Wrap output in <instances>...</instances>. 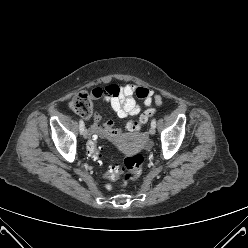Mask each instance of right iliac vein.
I'll return each instance as SVG.
<instances>
[{"instance_id":"63e3f726","label":"right iliac vein","mask_w":248,"mask_h":248,"mask_svg":"<svg viewBox=\"0 0 248 248\" xmlns=\"http://www.w3.org/2000/svg\"><path fill=\"white\" fill-rule=\"evenodd\" d=\"M83 136H84V138H88L89 137V132L85 128H84V131H83Z\"/></svg>"}]
</instances>
